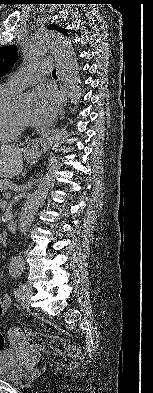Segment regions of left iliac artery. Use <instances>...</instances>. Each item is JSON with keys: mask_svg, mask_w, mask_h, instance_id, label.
<instances>
[{"mask_svg": "<svg viewBox=\"0 0 153 393\" xmlns=\"http://www.w3.org/2000/svg\"><path fill=\"white\" fill-rule=\"evenodd\" d=\"M25 288H26V285L19 286V288L16 292L18 297H22V292L24 291Z\"/></svg>", "mask_w": 153, "mask_h": 393, "instance_id": "44dca946", "label": "left iliac artery"}]
</instances>
